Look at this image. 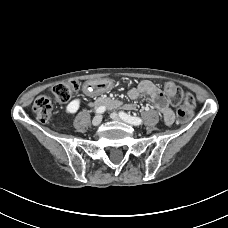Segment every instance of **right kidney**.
Here are the masks:
<instances>
[{
	"label": "right kidney",
	"instance_id": "1",
	"mask_svg": "<svg viewBox=\"0 0 228 228\" xmlns=\"http://www.w3.org/2000/svg\"><path fill=\"white\" fill-rule=\"evenodd\" d=\"M80 99H74L72 100L67 106H66V113L74 114L78 111L80 107Z\"/></svg>",
	"mask_w": 228,
	"mask_h": 228
}]
</instances>
